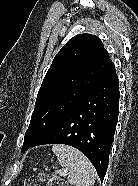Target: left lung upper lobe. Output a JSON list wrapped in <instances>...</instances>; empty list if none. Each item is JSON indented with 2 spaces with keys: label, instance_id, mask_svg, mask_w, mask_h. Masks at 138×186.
<instances>
[{
  "label": "left lung upper lobe",
  "instance_id": "5c2ea615",
  "mask_svg": "<svg viewBox=\"0 0 138 186\" xmlns=\"http://www.w3.org/2000/svg\"><path fill=\"white\" fill-rule=\"evenodd\" d=\"M114 68L97 36L79 34L71 38L55 56L38 91L23 148L51 130Z\"/></svg>",
  "mask_w": 138,
  "mask_h": 186
}]
</instances>
